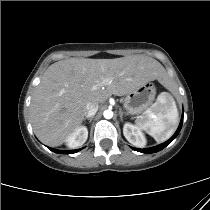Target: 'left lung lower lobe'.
Here are the masks:
<instances>
[{
    "mask_svg": "<svg viewBox=\"0 0 210 210\" xmlns=\"http://www.w3.org/2000/svg\"><path fill=\"white\" fill-rule=\"evenodd\" d=\"M182 123H183V116H182V120L180 122V125L177 129V131L175 132V134L168 140L166 141L165 143L163 144H160L158 146H155V147H152V148H147V149H137V148H132L133 150L135 151H138V152H142V153H155V152H158L160 150H162L163 148H165L172 140H174L177 135L179 134L180 130H181V127H182Z\"/></svg>",
    "mask_w": 210,
    "mask_h": 210,
    "instance_id": "0a47b994",
    "label": "left lung lower lobe"
}]
</instances>
